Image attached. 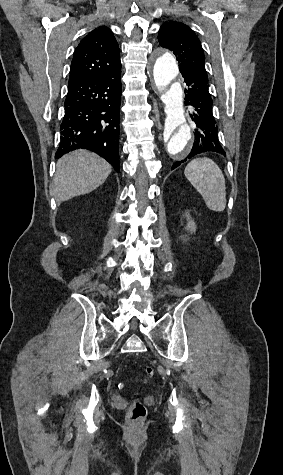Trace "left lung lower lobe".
I'll list each match as a JSON object with an SVG mask.
<instances>
[{
    "label": "left lung lower lobe",
    "instance_id": "0a47b994",
    "mask_svg": "<svg viewBox=\"0 0 283 475\" xmlns=\"http://www.w3.org/2000/svg\"><path fill=\"white\" fill-rule=\"evenodd\" d=\"M180 72L188 86L185 89L186 105L193 107L190 117L195 126V139L187 158L174 163L171 169H175L187 159L203 152H216L225 155L218 139V127L212 113L213 101L208 92L207 74L192 70H181Z\"/></svg>",
    "mask_w": 283,
    "mask_h": 475
}]
</instances>
